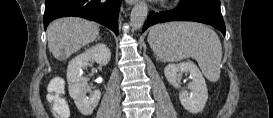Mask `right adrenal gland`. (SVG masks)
<instances>
[{
  "label": "right adrenal gland",
  "instance_id": "1",
  "mask_svg": "<svg viewBox=\"0 0 273 118\" xmlns=\"http://www.w3.org/2000/svg\"><path fill=\"white\" fill-rule=\"evenodd\" d=\"M97 40H100V36L97 38Z\"/></svg>",
  "mask_w": 273,
  "mask_h": 118
}]
</instances>
